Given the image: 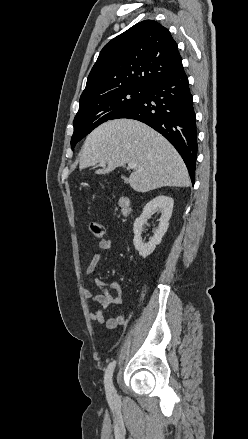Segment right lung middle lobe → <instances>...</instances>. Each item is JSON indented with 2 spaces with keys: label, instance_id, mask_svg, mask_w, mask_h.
<instances>
[{
  "label": "right lung middle lobe",
  "instance_id": "dd1d6c3e",
  "mask_svg": "<svg viewBox=\"0 0 248 439\" xmlns=\"http://www.w3.org/2000/svg\"><path fill=\"white\" fill-rule=\"evenodd\" d=\"M145 92V88L125 87L80 104L79 111L74 118L72 150L77 142L97 126L108 120L117 119L128 111Z\"/></svg>",
  "mask_w": 248,
  "mask_h": 439
}]
</instances>
